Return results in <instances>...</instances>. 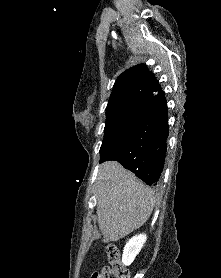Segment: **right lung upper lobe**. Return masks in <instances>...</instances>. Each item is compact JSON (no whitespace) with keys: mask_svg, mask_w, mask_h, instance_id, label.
I'll return each mask as SVG.
<instances>
[{"mask_svg":"<svg viewBox=\"0 0 221 278\" xmlns=\"http://www.w3.org/2000/svg\"><path fill=\"white\" fill-rule=\"evenodd\" d=\"M160 85L146 65L140 64L123 72L115 81L106 112L132 103H145L161 94Z\"/></svg>","mask_w":221,"mask_h":278,"instance_id":"cb5924a9","label":"right lung upper lobe"}]
</instances>
